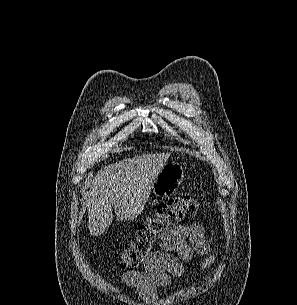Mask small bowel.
Masks as SVG:
<instances>
[{
	"mask_svg": "<svg viewBox=\"0 0 297 305\" xmlns=\"http://www.w3.org/2000/svg\"><path fill=\"white\" fill-rule=\"evenodd\" d=\"M211 238L199 223H182L164 230L160 235L159 249L145 260L144 271L121 273L122 282L135 289L148 303L157 297V288L169 285L174 278L185 273L184 262L194 254L205 256L201 269L209 268L216 260L212 254Z\"/></svg>",
	"mask_w": 297,
	"mask_h": 305,
	"instance_id": "1",
	"label": "small bowel"
}]
</instances>
